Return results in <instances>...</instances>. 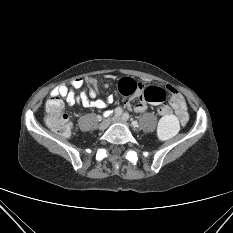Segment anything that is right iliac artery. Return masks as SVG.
I'll list each match as a JSON object with an SVG mask.
<instances>
[{
	"label": "right iliac artery",
	"mask_w": 233,
	"mask_h": 233,
	"mask_svg": "<svg viewBox=\"0 0 233 233\" xmlns=\"http://www.w3.org/2000/svg\"><path fill=\"white\" fill-rule=\"evenodd\" d=\"M116 117H119L122 114V108L117 107L114 111Z\"/></svg>",
	"instance_id": "82829eb1"
}]
</instances>
